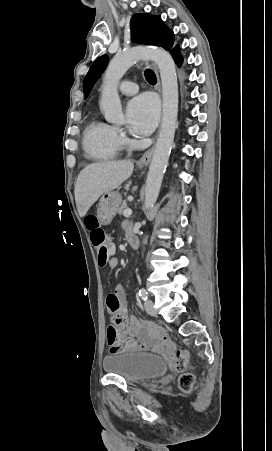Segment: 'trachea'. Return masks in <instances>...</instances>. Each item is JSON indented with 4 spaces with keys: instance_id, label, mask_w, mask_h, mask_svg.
I'll return each instance as SVG.
<instances>
[{
    "instance_id": "1",
    "label": "trachea",
    "mask_w": 272,
    "mask_h": 451,
    "mask_svg": "<svg viewBox=\"0 0 272 451\" xmlns=\"http://www.w3.org/2000/svg\"><path fill=\"white\" fill-rule=\"evenodd\" d=\"M145 78H146L147 82H149L151 84H155L156 83L155 73L152 70H150V69H147L145 71Z\"/></svg>"
}]
</instances>
